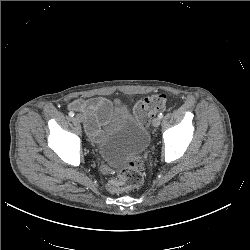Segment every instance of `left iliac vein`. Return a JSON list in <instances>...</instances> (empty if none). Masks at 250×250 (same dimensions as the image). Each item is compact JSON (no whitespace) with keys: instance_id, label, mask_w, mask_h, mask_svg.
<instances>
[{"instance_id":"4c4485c4","label":"left iliac vein","mask_w":250,"mask_h":250,"mask_svg":"<svg viewBox=\"0 0 250 250\" xmlns=\"http://www.w3.org/2000/svg\"><path fill=\"white\" fill-rule=\"evenodd\" d=\"M160 123H161V120L158 117L154 118L152 121V125L154 127H159Z\"/></svg>"}]
</instances>
